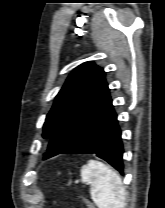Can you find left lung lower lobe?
I'll return each instance as SVG.
<instances>
[{"mask_svg": "<svg viewBox=\"0 0 165 208\" xmlns=\"http://www.w3.org/2000/svg\"><path fill=\"white\" fill-rule=\"evenodd\" d=\"M123 144L111 98L81 127L65 153H94L124 174Z\"/></svg>", "mask_w": 165, "mask_h": 208, "instance_id": "obj_1", "label": "left lung lower lobe"}]
</instances>
